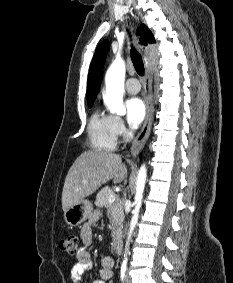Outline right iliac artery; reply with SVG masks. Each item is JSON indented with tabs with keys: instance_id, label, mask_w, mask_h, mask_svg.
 Returning <instances> with one entry per match:
<instances>
[{
	"instance_id": "obj_1",
	"label": "right iliac artery",
	"mask_w": 233,
	"mask_h": 283,
	"mask_svg": "<svg viewBox=\"0 0 233 283\" xmlns=\"http://www.w3.org/2000/svg\"><path fill=\"white\" fill-rule=\"evenodd\" d=\"M125 272H126V266L123 265L120 270V277L122 282H124L125 279Z\"/></svg>"
}]
</instances>
